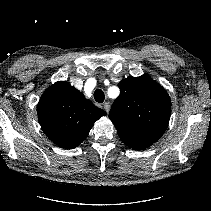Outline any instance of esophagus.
Returning a JSON list of instances; mask_svg holds the SVG:
<instances>
[{
    "mask_svg": "<svg viewBox=\"0 0 211 211\" xmlns=\"http://www.w3.org/2000/svg\"><path fill=\"white\" fill-rule=\"evenodd\" d=\"M110 106H111V105H110L109 102H105V103L103 104L104 110L106 111L107 114L109 113Z\"/></svg>",
    "mask_w": 211,
    "mask_h": 211,
    "instance_id": "esophagus-1",
    "label": "esophagus"
}]
</instances>
